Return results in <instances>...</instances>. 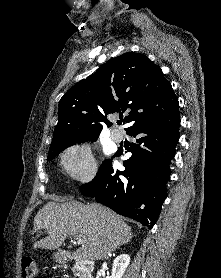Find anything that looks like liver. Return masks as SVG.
<instances>
[{
    "mask_svg": "<svg viewBox=\"0 0 221 278\" xmlns=\"http://www.w3.org/2000/svg\"><path fill=\"white\" fill-rule=\"evenodd\" d=\"M57 201V198H54ZM50 201L34 218V230H47L48 236L34 243V249H58L67 236L84 240L74 253L85 260H101L132 239L131 228L109 208L97 203Z\"/></svg>",
    "mask_w": 221,
    "mask_h": 278,
    "instance_id": "6515ba94",
    "label": "liver"
}]
</instances>
